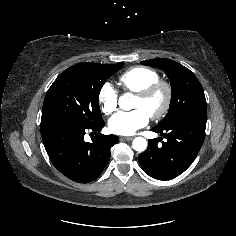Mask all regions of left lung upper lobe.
Listing matches in <instances>:
<instances>
[{"label":"left lung upper lobe","instance_id":"1","mask_svg":"<svg viewBox=\"0 0 236 236\" xmlns=\"http://www.w3.org/2000/svg\"><path fill=\"white\" fill-rule=\"evenodd\" d=\"M141 64L164 70L171 82L169 111L155 127L163 128L185 116L207 112L202 86L189 69L173 60L163 58L143 61Z\"/></svg>","mask_w":236,"mask_h":236}]
</instances>
